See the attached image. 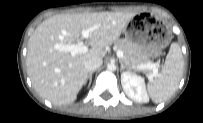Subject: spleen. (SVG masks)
Wrapping results in <instances>:
<instances>
[{
    "label": "spleen",
    "mask_w": 203,
    "mask_h": 123,
    "mask_svg": "<svg viewBox=\"0 0 203 123\" xmlns=\"http://www.w3.org/2000/svg\"><path fill=\"white\" fill-rule=\"evenodd\" d=\"M184 60L180 46L172 43L164 67L157 78L149 81L147 90L155 103L169 99L177 90L183 75Z\"/></svg>",
    "instance_id": "obj_1"
}]
</instances>
